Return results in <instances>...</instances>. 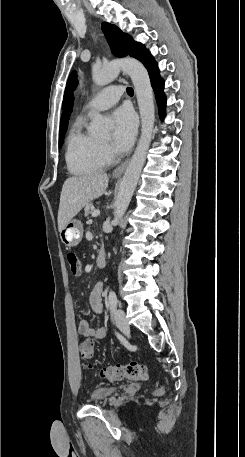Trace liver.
<instances>
[{"mask_svg": "<svg viewBox=\"0 0 245 457\" xmlns=\"http://www.w3.org/2000/svg\"><path fill=\"white\" fill-rule=\"evenodd\" d=\"M108 180L106 172H89L84 176H69L65 180L58 210V231H62L65 224L80 212L87 202L105 192Z\"/></svg>", "mask_w": 245, "mask_h": 457, "instance_id": "6515ba94", "label": "liver"}]
</instances>
